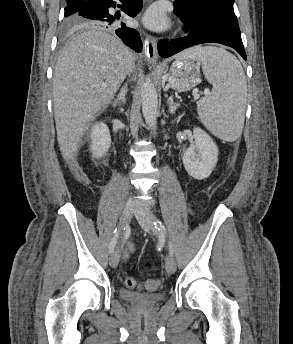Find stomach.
<instances>
[{"instance_id":"obj_1","label":"stomach","mask_w":293,"mask_h":344,"mask_svg":"<svg viewBox=\"0 0 293 344\" xmlns=\"http://www.w3.org/2000/svg\"><path fill=\"white\" fill-rule=\"evenodd\" d=\"M164 78L173 89L179 92L189 91L201 82L199 63L178 56Z\"/></svg>"}]
</instances>
